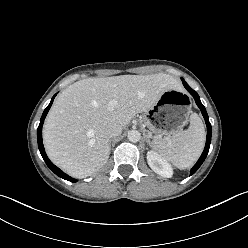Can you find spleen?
Segmentation results:
<instances>
[{"label":"spleen","instance_id":"1","mask_svg":"<svg viewBox=\"0 0 248 248\" xmlns=\"http://www.w3.org/2000/svg\"><path fill=\"white\" fill-rule=\"evenodd\" d=\"M205 144V129L200 117L193 113L187 130L174 133L167 140L153 141L152 148L179 169L194 165Z\"/></svg>","mask_w":248,"mask_h":248}]
</instances>
